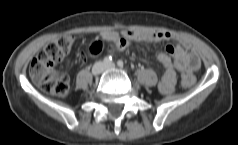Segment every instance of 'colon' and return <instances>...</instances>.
I'll return each mask as SVG.
<instances>
[{
	"instance_id": "obj_1",
	"label": "colon",
	"mask_w": 238,
	"mask_h": 145,
	"mask_svg": "<svg viewBox=\"0 0 238 145\" xmlns=\"http://www.w3.org/2000/svg\"><path fill=\"white\" fill-rule=\"evenodd\" d=\"M70 37H61L49 42L31 61L29 71L35 82L47 93L55 96H65L69 91V77L65 72L55 70V66L62 61L72 46ZM107 48L114 50L112 44L106 47L102 41H94L88 48L91 55H97ZM192 74L182 76V83L185 87L193 84Z\"/></svg>"
}]
</instances>
